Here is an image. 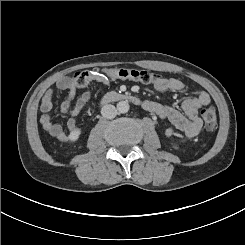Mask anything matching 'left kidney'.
Segmentation results:
<instances>
[{
  "mask_svg": "<svg viewBox=\"0 0 245 245\" xmlns=\"http://www.w3.org/2000/svg\"><path fill=\"white\" fill-rule=\"evenodd\" d=\"M170 144H171L173 150H175V151H179L180 150V145H179V142L178 141L171 140L170 141Z\"/></svg>",
  "mask_w": 245,
  "mask_h": 245,
  "instance_id": "5707ae66",
  "label": "left kidney"
}]
</instances>
